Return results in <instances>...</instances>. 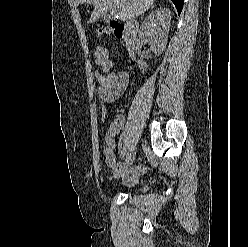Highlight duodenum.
Wrapping results in <instances>:
<instances>
[{
	"label": "duodenum",
	"mask_w": 248,
	"mask_h": 247,
	"mask_svg": "<svg viewBox=\"0 0 248 247\" xmlns=\"http://www.w3.org/2000/svg\"><path fill=\"white\" fill-rule=\"evenodd\" d=\"M107 19L119 31L120 37L124 41L127 50L133 54L138 42V23L131 20L118 21L110 15L107 16Z\"/></svg>",
	"instance_id": "410a0bca"
}]
</instances>
